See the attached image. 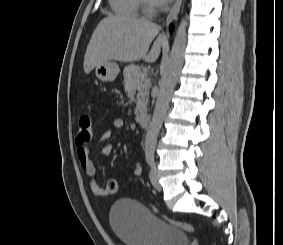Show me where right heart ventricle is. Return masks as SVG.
<instances>
[{
    "instance_id": "e07e8e85",
    "label": "right heart ventricle",
    "mask_w": 283,
    "mask_h": 245,
    "mask_svg": "<svg viewBox=\"0 0 283 245\" xmlns=\"http://www.w3.org/2000/svg\"><path fill=\"white\" fill-rule=\"evenodd\" d=\"M112 9L121 15L137 16L142 7L141 0H109Z\"/></svg>"
}]
</instances>
